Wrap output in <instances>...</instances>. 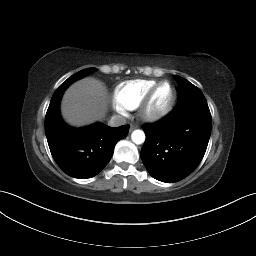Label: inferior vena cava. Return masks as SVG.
<instances>
[{"label":"inferior vena cava","mask_w":256,"mask_h":256,"mask_svg":"<svg viewBox=\"0 0 256 256\" xmlns=\"http://www.w3.org/2000/svg\"><path fill=\"white\" fill-rule=\"evenodd\" d=\"M126 123V119L123 116L115 115L112 116L108 122V125L111 127H118L124 125Z\"/></svg>","instance_id":"inferior-vena-cava-1"}]
</instances>
